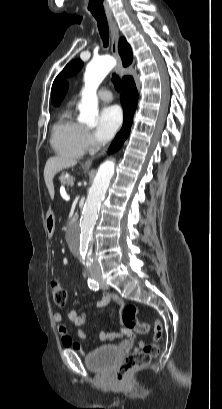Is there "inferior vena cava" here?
<instances>
[{
	"instance_id": "obj_1",
	"label": "inferior vena cava",
	"mask_w": 222,
	"mask_h": 409,
	"mask_svg": "<svg viewBox=\"0 0 222 409\" xmlns=\"http://www.w3.org/2000/svg\"><path fill=\"white\" fill-rule=\"evenodd\" d=\"M89 268L90 269H98L99 266H98V264L96 262H90L89 263Z\"/></svg>"
}]
</instances>
